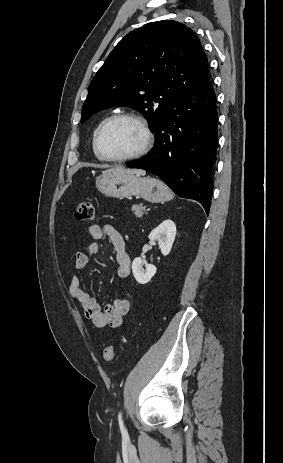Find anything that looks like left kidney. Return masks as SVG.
<instances>
[{"instance_id": "5707ae66", "label": "left kidney", "mask_w": 283, "mask_h": 463, "mask_svg": "<svg viewBox=\"0 0 283 463\" xmlns=\"http://www.w3.org/2000/svg\"><path fill=\"white\" fill-rule=\"evenodd\" d=\"M176 236V225L168 219L164 220L159 226L151 231L148 238L158 241L161 253L166 256L170 253ZM145 269H144V267ZM157 268L137 257L132 262V272L136 281L140 284L148 283L156 274Z\"/></svg>"}]
</instances>
